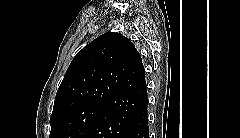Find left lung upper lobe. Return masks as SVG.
<instances>
[{
	"label": "left lung upper lobe",
	"instance_id": "left-lung-upper-lobe-1",
	"mask_svg": "<svg viewBox=\"0 0 240 138\" xmlns=\"http://www.w3.org/2000/svg\"><path fill=\"white\" fill-rule=\"evenodd\" d=\"M138 56L132 42L114 32L79 51L58 88L49 138H87Z\"/></svg>",
	"mask_w": 240,
	"mask_h": 138
}]
</instances>
